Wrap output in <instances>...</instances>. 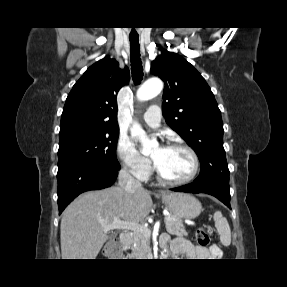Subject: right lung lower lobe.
I'll list each match as a JSON object with an SVG mask.
<instances>
[{
    "label": "right lung lower lobe",
    "mask_w": 287,
    "mask_h": 287,
    "mask_svg": "<svg viewBox=\"0 0 287 287\" xmlns=\"http://www.w3.org/2000/svg\"><path fill=\"white\" fill-rule=\"evenodd\" d=\"M118 170L104 167L78 164L58 171V207L60 213L79 194L111 186Z\"/></svg>",
    "instance_id": "obj_1"
}]
</instances>
